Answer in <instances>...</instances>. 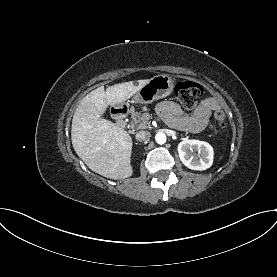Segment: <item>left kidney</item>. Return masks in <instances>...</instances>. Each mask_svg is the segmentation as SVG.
Listing matches in <instances>:
<instances>
[{"mask_svg":"<svg viewBox=\"0 0 277 277\" xmlns=\"http://www.w3.org/2000/svg\"><path fill=\"white\" fill-rule=\"evenodd\" d=\"M193 152H198V155ZM178 153L182 163L192 170L203 171L213 163V148L204 141L184 140L178 145Z\"/></svg>","mask_w":277,"mask_h":277,"instance_id":"obj_1","label":"left kidney"}]
</instances>
